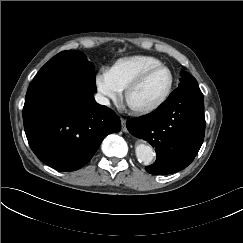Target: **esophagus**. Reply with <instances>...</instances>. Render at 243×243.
<instances>
[{
  "label": "esophagus",
  "instance_id": "obj_1",
  "mask_svg": "<svg viewBox=\"0 0 243 243\" xmlns=\"http://www.w3.org/2000/svg\"><path fill=\"white\" fill-rule=\"evenodd\" d=\"M127 121L124 118H121V125H122V131L127 132V127H126Z\"/></svg>",
  "mask_w": 243,
  "mask_h": 243
}]
</instances>
